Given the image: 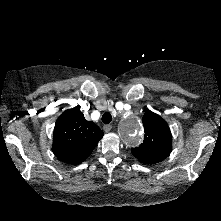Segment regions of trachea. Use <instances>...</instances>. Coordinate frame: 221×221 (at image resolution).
Segmentation results:
<instances>
[{"mask_svg": "<svg viewBox=\"0 0 221 221\" xmlns=\"http://www.w3.org/2000/svg\"><path fill=\"white\" fill-rule=\"evenodd\" d=\"M112 121V116L109 112H105L103 115H102V122L105 123V124H108Z\"/></svg>", "mask_w": 221, "mask_h": 221, "instance_id": "trachea-1", "label": "trachea"}]
</instances>
